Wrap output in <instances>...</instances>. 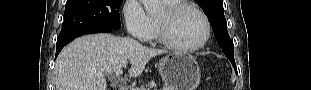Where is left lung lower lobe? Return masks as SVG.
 <instances>
[{
    "mask_svg": "<svg viewBox=\"0 0 311 90\" xmlns=\"http://www.w3.org/2000/svg\"><path fill=\"white\" fill-rule=\"evenodd\" d=\"M232 65H233V67L235 68V70H236V65H235V63H232Z\"/></svg>",
    "mask_w": 311,
    "mask_h": 90,
    "instance_id": "1",
    "label": "left lung lower lobe"
}]
</instances>
